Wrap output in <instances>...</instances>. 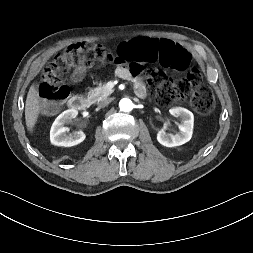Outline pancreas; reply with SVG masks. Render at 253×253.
<instances>
[{
    "mask_svg": "<svg viewBox=\"0 0 253 253\" xmlns=\"http://www.w3.org/2000/svg\"><path fill=\"white\" fill-rule=\"evenodd\" d=\"M113 91V89H109L105 84H103L99 85L95 89H91L88 92L87 97L94 103L107 98L110 94L113 93Z\"/></svg>",
    "mask_w": 253,
    "mask_h": 253,
    "instance_id": "pancreas-1",
    "label": "pancreas"
}]
</instances>
